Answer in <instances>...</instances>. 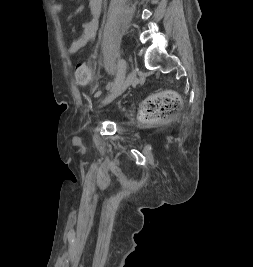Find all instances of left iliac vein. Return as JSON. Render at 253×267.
Segmentation results:
<instances>
[{"label":"left iliac vein","mask_w":253,"mask_h":267,"mask_svg":"<svg viewBox=\"0 0 253 267\" xmlns=\"http://www.w3.org/2000/svg\"><path fill=\"white\" fill-rule=\"evenodd\" d=\"M137 81L138 80L136 78L135 71H132V73L127 76L124 86H121L119 89H114L112 94L105 100V103H110L116 96L124 92L127 87L137 84Z\"/></svg>","instance_id":"obj_1"}]
</instances>
